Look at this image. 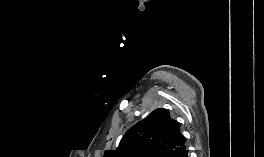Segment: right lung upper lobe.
Segmentation results:
<instances>
[{
	"label": "right lung upper lobe",
	"mask_w": 264,
	"mask_h": 157,
	"mask_svg": "<svg viewBox=\"0 0 264 157\" xmlns=\"http://www.w3.org/2000/svg\"><path fill=\"white\" fill-rule=\"evenodd\" d=\"M185 150L179 123L167 109L158 108L131 127L105 157H180Z\"/></svg>",
	"instance_id": "1"
}]
</instances>
